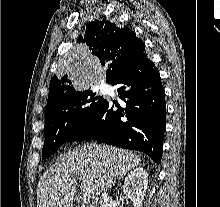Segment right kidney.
<instances>
[{
	"instance_id": "obj_1",
	"label": "right kidney",
	"mask_w": 220,
	"mask_h": 207,
	"mask_svg": "<svg viewBox=\"0 0 220 207\" xmlns=\"http://www.w3.org/2000/svg\"><path fill=\"white\" fill-rule=\"evenodd\" d=\"M148 186V173L143 168L133 169L125 178L122 190L134 207H142Z\"/></svg>"
}]
</instances>
